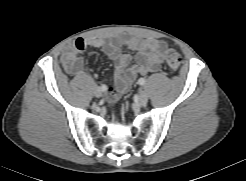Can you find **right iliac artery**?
I'll return each instance as SVG.
<instances>
[{"instance_id":"right-iliac-artery-1","label":"right iliac artery","mask_w":246,"mask_h":181,"mask_svg":"<svg viewBox=\"0 0 246 181\" xmlns=\"http://www.w3.org/2000/svg\"><path fill=\"white\" fill-rule=\"evenodd\" d=\"M100 89H101V91H106V86L105 85H102L101 87H100Z\"/></svg>"}]
</instances>
